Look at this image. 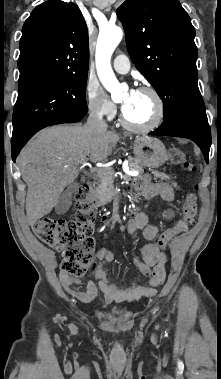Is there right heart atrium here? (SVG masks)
<instances>
[{
	"mask_svg": "<svg viewBox=\"0 0 221 379\" xmlns=\"http://www.w3.org/2000/svg\"><path fill=\"white\" fill-rule=\"evenodd\" d=\"M85 96L91 114L105 120L114 118L117 111L116 106L108 99L99 85L88 82L85 88Z\"/></svg>",
	"mask_w": 221,
	"mask_h": 379,
	"instance_id": "right-heart-atrium-1",
	"label": "right heart atrium"
}]
</instances>
